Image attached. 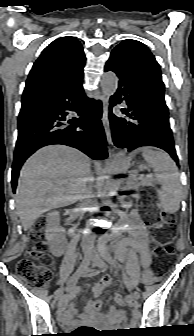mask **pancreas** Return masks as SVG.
Listing matches in <instances>:
<instances>
[{"instance_id":"pancreas-1","label":"pancreas","mask_w":194,"mask_h":336,"mask_svg":"<svg viewBox=\"0 0 194 336\" xmlns=\"http://www.w3.org/2000/svg\"><path fill=\"white\" fill-rule=\"evenodd\" d=\"M134 184L133 185H137L138 187L140 186H149L152 185V183L155 181L154 177L151 176H146V177H139V178H135L134 179Z\"/></svg>"}]
</instances>
